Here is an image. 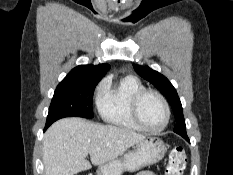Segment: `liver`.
<instances>
[{
  "instance_id": "1",
  "label": "liver",
  "mask_w": 233,
  "mask_h": 175,
  "mask_svg": "<svg viewBox=\"0 0 233 175\" xmlns=\"http://www.w3.org/2000/svg\"><path fill=\"white\" fill-rule=\"evenodd\" d=\"M143 134L82 118H63L52 124L43 139L45 175H74L91 169L86 160L103 165L145 139Z\"/></svg>"
}]
</instances>
